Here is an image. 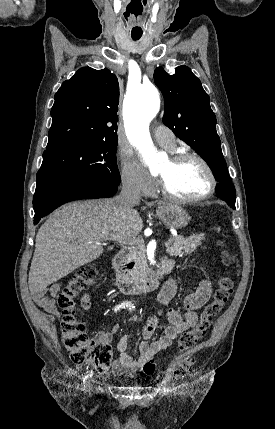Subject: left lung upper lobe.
I'll return each mask as SVG.
<instances>
[{
  "mask_svg": "<svg viewBox=\"0 0 275 429\" xmlns=\"http://www.w3.org/2000/svg\"><path fill=\"white\" fill-rule=\"evenodd\" d=\"M175 70L173 75L162 67L154 71L155 83L165 99L163 122L207 161L219 181L216 188L222 187L223 200L235 207L236 190L223 158L210 98L189 67Z\"/></svg>",
  "mask_w": 275,
  "mask_h": 429,
  "instance_id": "5c2ea615",
  "label": "left lung upper lobe"
}]
</instances>
